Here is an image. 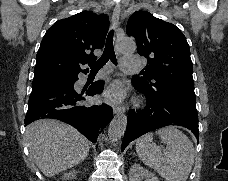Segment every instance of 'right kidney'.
Instances as JSON below:
<instances>
[{
	"mask_svg": "<svg viewBox=\"0 0 228 181\" xmlns=\"http://www.w3.org/2000/svg\"><path fill=\"white\" fill-rule=\"evenodd\" d=\"M76 171H73V173H65L64 175V181H72V179H75Z\"/></svg>",
	"mask_w": 228,
	"mask_h": 181,
	"instance_id": "obj_1",
	"label": "right kidney"
}]
</instances>
